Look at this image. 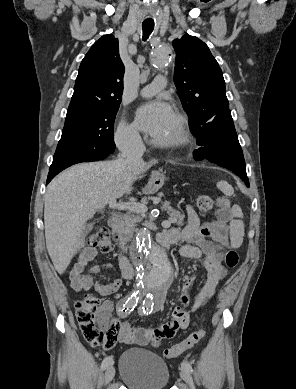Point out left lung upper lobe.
I'll return each mask as SVG.
<instances>
[{
	"instance_id": "obj_1",
	"label": "left lung upper lobe",
	"mask_w": 296,
	"mask_h": 389,
	"mask_svg": "<svg viewBox=\"0 0 296 389\" xmlns=\"http://www.w3.org/2000/svg\"><path fill=\"white\" fill-rule=\"evenodd\" d=\"M172 44L176 52L175 86L190 118V131L197 138L202 126L229 111L225 81L217 61L200 39L185 34Z\"/></svg>"
}]
</instances>
